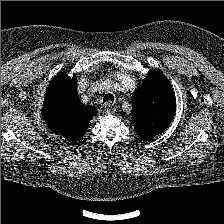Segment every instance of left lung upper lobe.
Here are the masks:
<instances>
[{"label": "left lung upper lobe", "instance_id": "1", "mask_svg": "<svg viewBox=\"0 0 224 224\" xmlns=\"http://www.w3.org/2000/svg\"><path fill=\"white\" fill-rule=\"evenodd\" d=\"M176 98L167 79L154 72L144 79L133 94L132 118L142 140H151L172 122Z\"/></svg>", "mask_w": 224, "mask_h": 224}]
</instances>
